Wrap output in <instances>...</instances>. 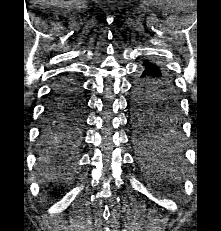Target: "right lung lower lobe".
Returning a JSON list of instances; mask_svg holds the SVG:
<instances>
[{"instance_id": "right-lung-lower-lobe-1", "label": "right lung lower lobe", "mask_w": 221, "mask_h": 231, "mask_svg": "<svg viewBox=\"0 0 221 231\" xmlns=\"http://www.w3.org/2000/svg\"><path fill=\"white\" fill-rule=\"evenodd\" d=\"M83 98L84 95L78 81L74 78L63 77L54 86L47 106L57 103L76 102Z\"/></svg>"}]
</instances>
